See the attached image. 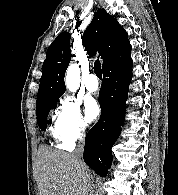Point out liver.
<instances>
[{"instance_id":"1","label":"liver","mask_w":178,"mask_h":195,"mask_svg":"<svg viewBox=\"0 0 178 195\" xmlns=\"http://www.w3.org/2000/svg\"><path fill=\"white\" fill-rule=\"evenodd\" d=\"M39 195H89L93 177L81 170L73 154L41 146L37 154Z\"/></svg>"}]
</instances>
